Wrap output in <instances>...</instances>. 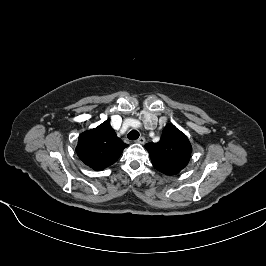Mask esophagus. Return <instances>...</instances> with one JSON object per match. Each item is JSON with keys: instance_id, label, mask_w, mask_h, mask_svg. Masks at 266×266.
<instances>
[{"instance_id": "1", "label": "esophagus", "mask_w": 266, "mask_h": 266, "mask_svg": "<svg viewBox=\"0 0 266 266\" xmlns=\"http://www.w3.org/2000/svg\"><path fill=\"white\" fill-rule=\"evenodd\" d=\"M137 143L139 144H144L145 143V138L144 137H139L137 140H136Z\"/></svg>"}]
</instances>
